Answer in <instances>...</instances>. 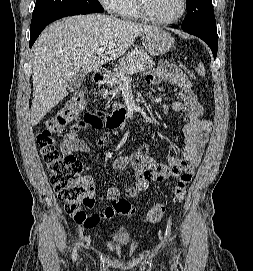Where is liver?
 I'll return each mask as SVG.
<instances>
[{
  "label": "liver",
  "mask_w": 253,
  "mask_h": 271,
  "mask_svg": "<svg viewBox=\"0 0 253 271\" xmlns=\"http://www.w3.org/2000/svg\"><path fill=\"white\" fill-rule=\"evenodd\" d=\"M155 29L102 14L67 17L49 25L32 48L31 125L66 97L80 68L84 73L98 70L123 55L138 36ZM100 48L105 53L96 57Z\"/></svg>",
  "instance_id": "1"
}]
</instances>
